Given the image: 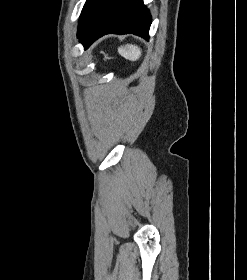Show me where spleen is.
<instances>
[{
    "mask_svg": "<svg viewBox=\"0 0 247 280\" xmlns=\"http://www.w3.org/2000/svg\"><path fill=\"white\" fill-rule=\"evenodd\" d=\"M118 52L124 58L130 61H137L141 56V49L132 44H127L118 48Z\"/></svg>",
    "mask_w": 247,
    "mask_h": 280,
    "instance_id": "1",
    "label": "spleen"
}]
</instances>
